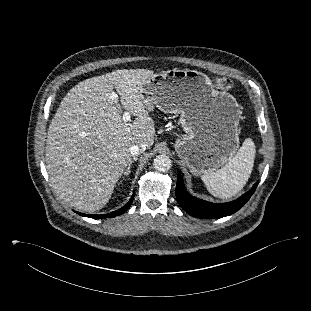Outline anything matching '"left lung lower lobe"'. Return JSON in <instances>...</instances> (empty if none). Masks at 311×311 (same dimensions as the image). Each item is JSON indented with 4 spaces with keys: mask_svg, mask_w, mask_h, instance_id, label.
<instances>
[{
    "mask_svg": "<svg viewBox=\"0 0 311 311\" xmlns=\"http://www.w3.org/2000/svg\"><path fill=\"white\" fill-rule=\"evenodd\" d=\"M257 185L258 182L253 185L252 189L237 200L228 203L215 204L191 196L185 189L182 176L178 174L176 198L182 209L194 217L205 219L222 218L235 213L243 207L253 195Z\"/></svg>",
    "mask_w": 311,
    "mask_h": 311,
    "instance_id": "0a47b994",
    "label": "left lung lower lobe"
}]
</instances>
